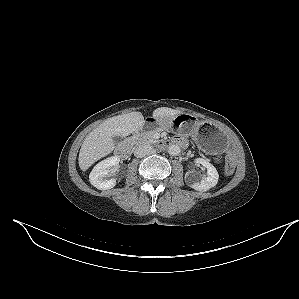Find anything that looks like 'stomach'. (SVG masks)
I'll list each match as a JSON object with an SVG mask.
<instances>
[{"instance_id": "0dacf381", "label": "stomach", "mask_w": 299, "mask_h": 299, "mask_svg": "<svg viewBox=\"0 0 299 299\" xmlns=\"http://www.w3.org/2000/svg\"><path fill=\"white\" fill-rule=\"evenodd\" d=\"M175 126H178V132L191 134L198 147L206 152H220L226 144L227 138L219 127L208 122L194 120L191 115L186 113L171 118H148L146 125L141 130L172 131Z\"/></svg>"}]
</instances>
